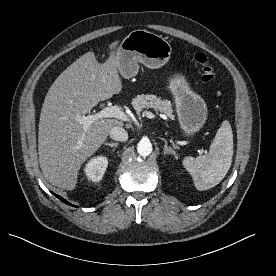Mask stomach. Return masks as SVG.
Segmentation results:
<instances>
[{"instance_id":"1","label":"stomach","mask_w":276,"mask_h":276,"mask_svg":"<svg viewBox=\"0 0 276 276\" xmlns=\"http://www.w3.org/2000/svg\"><path fill=\"white\" fill-rule=\"evenodd\" d=\"M172 54L169 42L160 35L146 30L130 32L116 50L118 71L125 79L138 74L139 64L150 69L165 65ZM173 95L178 121L183 134L190 137L198 132L207 120V106L203 98L193 92L186 78L175 74L168 80Z\"/></svg>"}]
</instances>
